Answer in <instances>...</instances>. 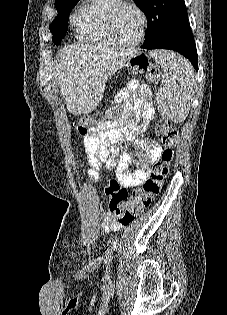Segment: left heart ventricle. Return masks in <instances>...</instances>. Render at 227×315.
Here are the masks:
<instances>
[{
  "label": "left heart ventricle",
  "mask_w": 227,
  "mask_h": 315,
  "mask_svg": "<svg viewBox=\"0 0 227 315\" xmlns=\"http://www.w3.org/2000/svg\"><path fill=\"white\" fill-rule=\"evenodd\" d=\"M141 18L129 6H122L115 18L114 30L118 41L128 44L135 41L140 33Z\"/></svg>",
  "instance_id": "b2bd125f"
}]
</instances>
